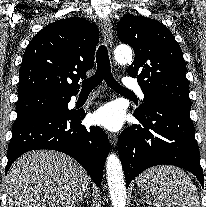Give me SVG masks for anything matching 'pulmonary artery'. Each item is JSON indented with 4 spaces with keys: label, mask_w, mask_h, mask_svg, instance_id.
Here are the masks:
<instances>
[{
    "label": "pulmonary artery",
    "mask_w": 206,
    "mask_h": 207,
    "mask_svg": "<svg viewBox=\"0 0 206 207\" xmlns=\"http://www.w3.org/2000/svg\"><path fill=\"white\" fill-rule=\"evenodd\" d=\"M125 85L130 89L133 90L134 92H136V94L140 97V98H144V94L140 88V86L134 82H132L129 78H125Z\"/></svg>",
    "instance_id": "obj_1"
}]
</instances>
